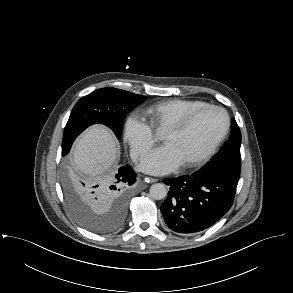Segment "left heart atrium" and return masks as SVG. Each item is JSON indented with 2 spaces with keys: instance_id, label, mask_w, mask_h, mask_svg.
I'll return each mask as SVG.
<instances>
[{
  "instance_id": "1",
  "label": "left heart atrium",
  "mask_w": 293,
  "mask_h": 293,
  "mask_svg": "<svg viewBox=\"0 0 293 293\" xmlns=\"http://www.w3.org/2000/svg\"><path fill=\"white\" fill-rule=\"evenodd\" d=\"M181 165L173 148L165 144L146 155L141 163V169L152 174H165Z\"/></svg>"
}]
</instances>
